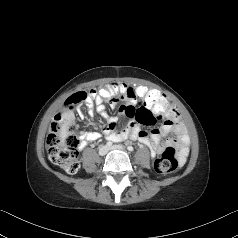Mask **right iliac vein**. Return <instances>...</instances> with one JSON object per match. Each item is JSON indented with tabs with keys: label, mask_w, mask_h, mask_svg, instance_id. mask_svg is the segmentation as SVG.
<instances>
[{
	"label": "right iliac vein",
	"mask_w": 238,
	"mask_h": 238,
	"mask_svg": "<svg viewBox=\"0 0 238 238\" xmlns=\"http://www.w3.org/2000/svg\"><path fill=\"white\" fill-rule=\"evenodd\" d=\"M107 152H108V147H107V146H104V145L101 146V147L99 148V151H98V153H99L100 156L106 155Z\"/></svg>",
	"instance_id": "63e3f726"
}]
</instances>
